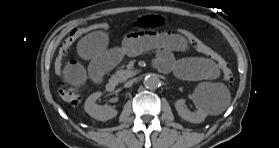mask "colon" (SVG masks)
Segmentation results:
<instances>
[{
    "label": "colon",
    "instance_id": "colon-1",
    "mask_svg": "<svg viewBox=\"0 0 279 148\" xmlns=\"http://www.w3.org/2000/svg\"><path fill=\"white\" fill-rule=\"evenodd\" d=\"M109 28V24L104 21H96L81 28L73 29L65 41L59 48L58 54L54 62V70L58 77L63 79L62 86L59 90L60 97L63 101L71 106H77L82 101V96L79 89L75 86L69 85L65 82L64 66L66 64V57L70 48L82 37L95 31H102ZM172 33L178 34L183 37L196 51L204 54L209 59L213 60L217 66L221 69L225 82L228 85H232L234 82L233 72L229 63L217 52L204 44L198 37L187 29L177 28Z\"/></svg>",
    "mask_w": 279,
    "mask_h": 148
}]
</instances>
